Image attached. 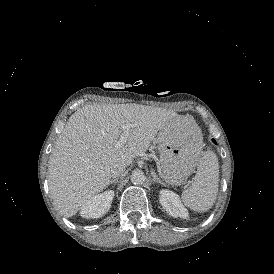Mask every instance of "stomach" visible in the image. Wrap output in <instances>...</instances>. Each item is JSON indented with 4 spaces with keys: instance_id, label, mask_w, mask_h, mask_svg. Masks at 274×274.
<instances>
[{
    "instance_id": "obj_1",
    "label": "stomach",
    "mask_w": 274,
    "mask_h": 274,
    "mask_svg": "<svg viewBox=\"0 0 274 274\" xmlns=\"http://www.w3.org/2000/svg\"><path fill=\"white\" fill-rule=\"evenodd\" d=\"M199 128L194 121L185 119L181 126H174L172 134L157 138L162 159V177L167 184L179 185L185 182L195 168V153L199 152ZM196 149V150H195Z\"/></svg>"
}]
</instances>
